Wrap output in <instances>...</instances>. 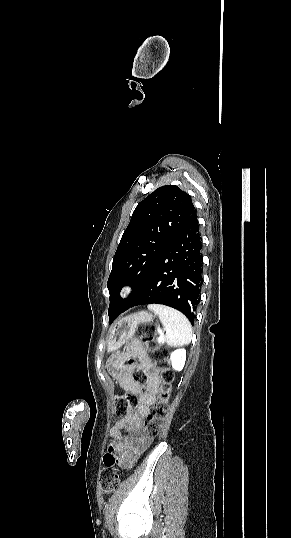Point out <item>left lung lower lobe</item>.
Wrapping results in <instances>:
<instances>
[{
    "label": "left lung lower lobe",
    "instance_id": "obj_1",
    "mask_svg": "<svg viewBox=\"0 0 291 538\" xmlns=\"http://www.w3.org/2000/svg\"><path fill=\"white\" fill-rule=\"evenodd\" d=\"M201 249L196 215L161 254L135 299L113 313L109 323L131 307L163 304L181 311L194 324L203 282Z\"/></svg>",
    "mask_w": 291,
    "mask_h": 538
}]
</instances>
